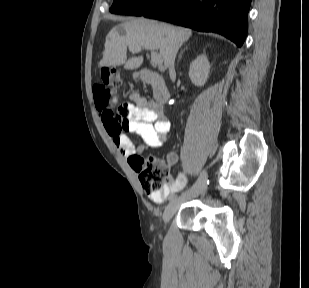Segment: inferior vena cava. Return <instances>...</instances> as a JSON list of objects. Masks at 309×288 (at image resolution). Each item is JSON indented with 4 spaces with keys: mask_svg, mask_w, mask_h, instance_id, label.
Here are the masks:
<instances>
[{
    "mask_svg": "<svg viewBox=\"0 0 309 288\" xmlns=\"http://www.w3.org/2000/svg\"><path fill=\"white\" fill-rule=\"evenodd\" d=\"M179 45L174 44L170 50V55H169V71L172 72L174 71V62H175V57L178 51Z\"/></svg>",
    "mask_w": 309,
    "mask_h": 288,
    "instance_id": "602c4592",
    "label": "inferior vena cava"
}]
</instances>
